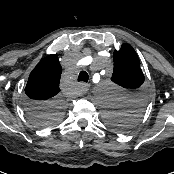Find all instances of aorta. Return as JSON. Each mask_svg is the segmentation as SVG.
Returning a JSON list of instances; mask_svg holds the SVG:
<instances>
[{"instance_id":"obj_1","label":"aorta","mask_w":174,"mask_h":174,"mask_svg":"<svg viewBox=\"0 0 174 174\" xmlns=\"http://www.w3.org/2000/svg\"><path fill=\"white\" fill-rule=\"evenodd\" d=\"M98 95L104 105H109L112 103L113 89L109 85H100L98 88Z\"/></svg>"}]
</instances>
